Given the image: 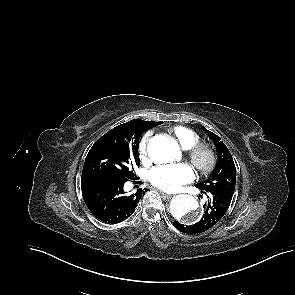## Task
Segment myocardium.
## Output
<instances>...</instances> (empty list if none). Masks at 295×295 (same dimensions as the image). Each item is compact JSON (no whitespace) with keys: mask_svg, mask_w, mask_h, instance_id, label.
<instances>
[{"mask_svg":"<svg viewBox=\"0 0 295 295\" xmlns=\"http://www.w3.org/2000/svg\"><path fill=\"white\" fill-rule=\"evenodd\" d=\"M187 156L189 161L201 175L211 173L217 161L214 149L205 143H199L187 150Z\"/></svg>","mask_w":295,"mask_h":295,"instance_id":"obj_1","label":"myocardium"}]
</instances>
